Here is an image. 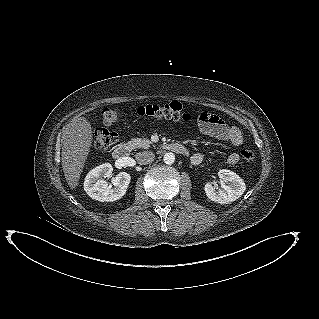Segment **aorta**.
<instances>
[{
    "label": "aorta",
    "mask_w": 319,
    "mask_h": 319,
    "mask_svg": "<svg viewBox=\"0 0 319 319\" xmlns=\"http://www.w3.org/2000/svg\"><path fill=\"white\" fill-rule=\"evenodd\" d=\"M163 161L167 165H171L175 162V155L173 153H166L163 157Z\"/></svg>",
    "instance_id": "1"
}]
</instances>
